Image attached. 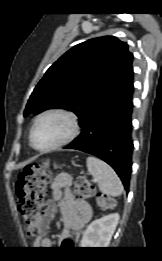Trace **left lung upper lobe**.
I'll use <instances>...</instances> for the list:
<instances>
[{"label": "left lung upper lobe", "instance_id": "obj_1", "mask_svg": "<svg viewBox=\"0 0 162 261\" xmlns=\"http://www.w3.org/2000/svg\"><path fill=\"white\" fill-rule=\"evenodd\" d=\"M133 54L114 36L87 40L61 56L36 85L24 116L51 108L73 111L82 126L133 77Z\"/></svg>", "mask_w": 162, "mask_h": 261}]
</instances>
